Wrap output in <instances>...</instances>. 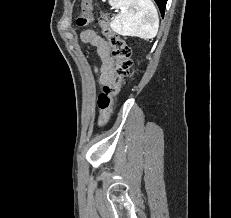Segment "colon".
<instances>
[{
    "instance_id": "5ec220e1",
    "label": "colon",
    "mask_w": 231,
    "mask_h": 218,
    "mask_svg": "<svg viewBox=\"0 0 231 218\" xmlns=\"http://www.w3.org/2000/svg\"><path fill=\"white\" fill-rule=\"evenodd\" d=\"M93 21L91 0H82L81 13L77 18V25L87 26ZM102 35L107 38L112 55L116 59L115 76L112 82L103 88L98 97L99 118L98 126L104 127L110 119L114 97L119 92L123 80L130 75L132 67L131 48L110 27L109 17L103 13L98 18Z\"/></svg>"
}]
</instances>
